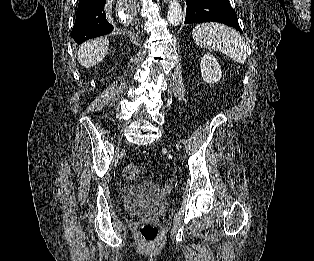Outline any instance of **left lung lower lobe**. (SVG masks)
<instances>
[{
  "label": "left lung lower lobe",
  "mask_w": 314,
  "mask_h": 261,
  "mask_svg": "<svg viewBox=\"0 0 314 261\" xmlns=\"http://www.w3.org/2000/svg\"><path fill=\"white\" fill-rule=\"evenodd\" d=\"M201 22H221L242 33L237 15L228 0H187L184 23Z\"/></svg>",
  "instance_id": "left-lung-lower-lobe-1"
}]
</instances>
